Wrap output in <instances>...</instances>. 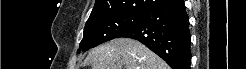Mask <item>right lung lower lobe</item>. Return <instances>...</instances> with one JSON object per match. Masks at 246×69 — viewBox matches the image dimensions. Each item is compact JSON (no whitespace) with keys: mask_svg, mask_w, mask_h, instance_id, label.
<instances>
[{"mask_svg":"<svg viewBox=\"0 0 246 69\" xmlns=\"http://www.w3.org/2000/svg\"><path fill=\"white\" fill-rule=\"evenodd\" d=\"M119 37L140 41L173 69H190L189 18L183 0H167L146 10L141 22Z\"/></svg>","mask_w":246,"mask_h":69,"instance_id":"obj_1","label":"right lung lower lobe"}]
</instances>
